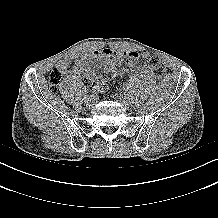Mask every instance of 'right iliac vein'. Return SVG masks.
<instances>
[{
  "instance_id": "right-iliac-vein-1",
  "label": "right iliac vein",
  "mask_w": 218,
  "mask_h": 218,
  "mask_svg": "<svg viewBox=\"0 0 218 218\" xmlns=\"http://www.w3.org/2000/svg\"><path fill=\"white\" fill-rule=\"evenodd\" d=\"M95 104V97H88L85 101V108L90 109Z\"/></svg>"
}]
</instances>
